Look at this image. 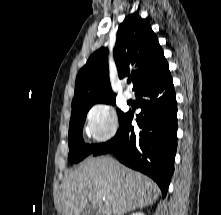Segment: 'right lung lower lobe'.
Listing matches in <instances>:
<instances>
[{
  "instance_id": "1",
  "label": "right lung lower lobe",
  "mask_w": 221,
  "mask_h": 215,
  "mask_svg": "<svg viewBox=\"0 0 221 215\" xmlns=\"http://www.w3.org/2000/svg\"><path fill=\"white\" fill-rule=\"evenodd\" d=\"M139 129L131 125L133 114L127 112L120 120L116 135L100 144L94 156L114 153L126 166L151 177L166 196L177 149V106L169 70L135 91Z\"/></svg>"
}]
</instances>
